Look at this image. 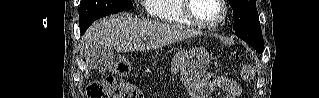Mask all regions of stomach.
Listing matches in <instances>:
<instances>
[{"label":"stomach","mask_w":319,"mask_h":98,"mask_svg":"<svg viewBox=\"0 0 319 98\" xmlns=\"http://www.w3.org/2000/svg\"><path fill=\"white\" fill-rule=\"evenodd\" d=\"M209 65V53L205 48L198 47L186 54L181 69V81L193 98L202 94V78Z\"/></svg>","instance_id":"0dacf381"}]
</instances>
